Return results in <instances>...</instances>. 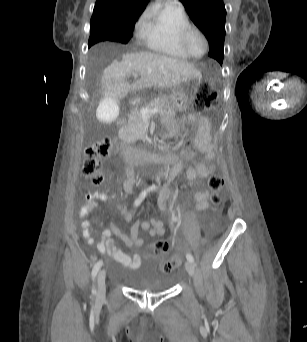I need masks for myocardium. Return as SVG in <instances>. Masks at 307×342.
<instances>
[{
	"label": "myocardium",
	"instance_id": "f54148a6",
	"mask_svg": "<svg viewBox=\"0 0 307 342\" xmlns=\"http://www.w3.org/2000/svg\"><path fill=\"white\" fill-rule=\"evenodd\" d=\"M194 30H198L200 32V34L203 38V41H204V45H205L204 52L200 57H195V56L191 55V53L188 51V48H187V38H188L189 34ZM179 46L182 49V51L184 52V54L190 60H193V61L202 60L207 55V53L209 51V41H208V37H207V34H206L203 26L196 23V22H193V21H190L189 23H187L180 31Z\"/></svg>",
	"mask_w": 307,
	"mask_h": 342
}]
</instances>
